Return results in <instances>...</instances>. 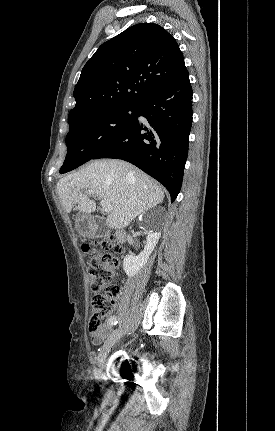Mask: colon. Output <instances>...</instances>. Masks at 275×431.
I'll list each match as a JSON object with an SVG mask.
<instances>
[{
  "label": "colon",
  "mask_w": 275,
  "mask_h": 431,
  "mask_svg": "<svg viewBox=\"0 0 275 431\" xmlns=\"http://www.w3.org/2000/svg\"><path fill=\"white\" fill-rule=\"evenodd\" d=\"M101 251L96 252L90 245L85 244L83 250L90 254L89 258V282L95 295L92 298V315L89 323V332L95 336L106 329L109 316L115 306V299L119 294V288L111 285L110 281L115 276L119 266L116 254L110 253L114 249L120 252L109 236H104L98 242ZM104 290V293L99 291Z\"/></svg>",
  "instance_id": "obj_1"
}]
</instances>
